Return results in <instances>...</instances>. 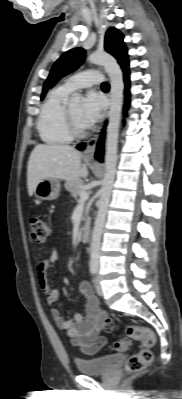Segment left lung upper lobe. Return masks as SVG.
Wrapping results in <instances>:
<instances>
[{
  "mask_svg": "<svg viewBox=\"0 0 182 399\" xmlns=\"http://www.w3.org/2000/svg\"><path fill=\"white\" fill-rule=\"evenodd\" d=\"M105 50L113 55L122 69L129 66L127 49L123 42V35L115 28H110L104 41ZM85 51L82 48H74L65 52L53 65L51 72L43 86L41 99L45 96L48 88H51L63 76L77 69L84 61Z\"/></svg>",
  "mask_w": 182,
  "mask_h": 399,
  "instance_id": "left-lung-upper-lobe-1",
  "label": "left lung upper lobe"
}]
</instances>
